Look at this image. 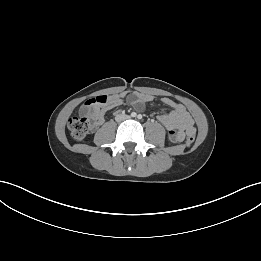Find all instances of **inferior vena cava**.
Listing matches in <instances>:
<instances>
[{
  "label": "inferior vena cava",
  "mask_w": 261,
  "mask_h": 261,
  "mask_svg": "<svg viewBox=\"0 0 261 261\" xmlns=\"http://www.w3.org/2000/svg\"><path fill=\"white\" fill-rule=\"evenodd\" d=\"M127 118H128L127 115H125V114H119V115H117V116L115 117V120H116L117 122H121V121H123V120H125V119H127Z\"/></svg>",
  "instance_id": "inferior-vena-cava-1"
}]
</instances>
